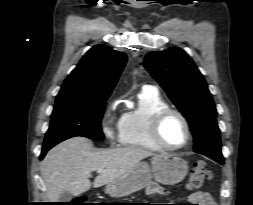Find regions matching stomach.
Listing matches in <instances>:
<instances>
[{
	"label": "stomach",
	"mask_w": 253,
	"mask_h": 205,
	"mask_svg": "<svg viewBox=\"0 0 253 205\" xmlns=\"http://www.w3.org/2000/svg\"><path fill=\"white\" fill-rule=\"evenodd\" d=\"M187 172L188 165L184 159L160 154L151 159V166L140 161L127 173L108 183L105 192L115 198L128 196L145 188L152 177L161 184L174 185L181 182Z\"/></svg>",
	"instance_id": "1"
}]
</instances>
